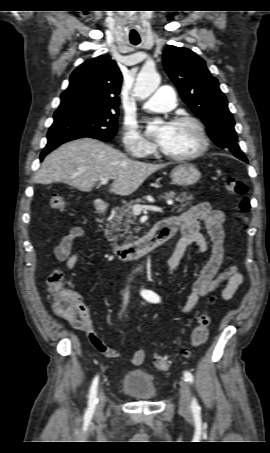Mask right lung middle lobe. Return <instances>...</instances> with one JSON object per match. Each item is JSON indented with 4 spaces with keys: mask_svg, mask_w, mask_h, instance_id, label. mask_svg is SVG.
I'll use <instances>...</instances> for the list:
<instances>
[{
    "mask_svg": "<svg viewBox=\"0 0 270 453\" xmlns=\"http://www.w3.org/2000/svg\"><path fill=\"white\" fill-rule=\"evenodd\" d=\"M118 114L104 111L78 112L55 117L47 138L74 140L91 137L101 141H110L117 132Z\"/></svg>",
    "mask_w": 270,
    "mask_h": 453,
    "instance_id": "dd1d6c3e",
    "label": "right lung middle lobe"
}]
</instances>
